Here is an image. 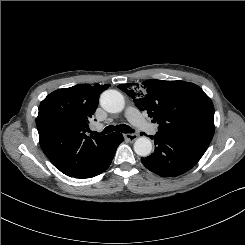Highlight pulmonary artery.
Returning <instances> with one entry per match:
<instances>
[{"instance_id":"1","label":"pulmonary artery","mask_w":245,"mask_h":245,"mask_svg":"<svg viewBox=\"0 0 245 245\" xmlns=\"http://www.w3.org/2000/svg\"><path fill=\"white\" fill-rule=\"evenodd\" d=\"M125 114L127 119L138 129L149 134H155L158 131V125L152 124L143 118L136 108L128 107ZM100 127L101 125L96 126V128Z\"/></svg>"}]
</instances>
